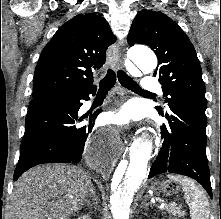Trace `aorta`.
I'll list each match as a JSON object with an SVG mask.
<instances>
[{"instance_id":"762f6f07","label":"aorta","mask_w":221,"mask_h":219,"mask_svg":"<svg viewBox=\"0 0 221 219\" xmlns=\"http://www.w3.org/2000/svg\"><path fill=\"white\" fill-rule=\"evenodd\" d=\"M127 57L145 72H152L157 66L155 54L145 46L130 48ZM152 153V141L140 138L132 148L129 159L121 161L113 172L110 196L113 219H129L131 204L147 176Z\"/></svg>"}]
</instances>
